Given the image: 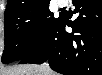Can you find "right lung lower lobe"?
Masks as SVG:
<instances>
[{
    "label": "right lung lower lobe",
    "mask_w": 102,
    "mask_h": 75,
    "mask_svg": "<svg viewBox=\"0 0 102 75\" xmlns=\"http://www.w3.org/2000/svg\"><path fill=\"white\" fill-rule=\"evenodd\" d=\"M73 22L67 15L48 35L46 40L20 64H41L48 60L50 67L64 75H102V0H72ZM66 27L73 29L66 32Z\"/></svg>",
    "instance_id": "1"
}]
</instances>
